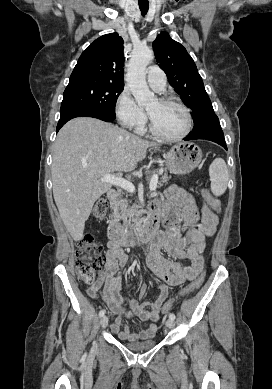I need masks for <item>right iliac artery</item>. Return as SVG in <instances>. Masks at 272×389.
Masks as SVG:
<instances>
[{"label":"right iliac artery","mask_w":272,"mask_h":389,"mask_svg":"<svg viewBox=\"0 0 272 389\" xmlns=\"http://www.w3.org/2000/svg\"><path fill=\"white\" fill-rule=\"evenodd\" d=\"M104 314H105V310H104V309L100 310V312H99V316H100V317H103V316H104Z\"/></svg>","instance_id":"right-iliac-artery-1"}]
</instances>
